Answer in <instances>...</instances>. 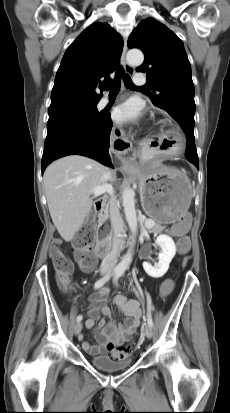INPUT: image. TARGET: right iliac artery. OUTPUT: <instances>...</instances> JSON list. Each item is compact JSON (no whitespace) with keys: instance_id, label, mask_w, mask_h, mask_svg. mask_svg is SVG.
I'll use <instances>...</instances> for the list:
<instances>
[{"instance_id":"right-iliac-artery-1","label":"right iliac artery","mask_w":230,"mask_h":413,"mask_svg":"<svg viewBox=\"0 0 230 413\" xmlns=\"http://www.w3.org/2000/svg\"><path fill=\"white\" fill-rule=\"evenodd\" d=\"M114 273H116L115 270H114L112 273H109V274H107L106 276H104L103 278L97 280V281L95 282V284H94V288H95V289H98V288L102 287V286L111 278V276H112ZM76 320H77V322H80V321L82 320V316L79 315Z\"/></svg>"}]
</instances>
